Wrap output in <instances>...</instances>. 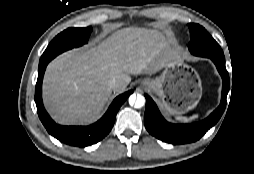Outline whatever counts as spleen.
Wrapping results in <instances>:
<instances>
[{
    "label": "spleen",
    "mask_w": 254,
    "mask_h": 174,
    "mask_svg": "<svg viewBox=\"0 0 254 174\" xmlns=\"http://www.w3.org/2000/svg\"><path fill=\"white\" fill-rule=\"evenodd\" d=\"M196 118H198V115H193V116H191L190 118L179 116V117H177L176 119H177L178 121L188 122V121L194 120V119H196Z\"/></svg>",
    "instance_id": "obj_1"
}]
</instances>
